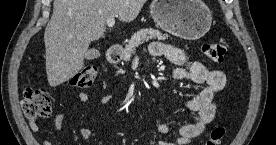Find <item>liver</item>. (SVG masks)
Here are the masks:
<instances>
[{
  "label": "liver",
  "mask_w": 276,
  "mask_h": 145,
  "mask_svg": "<svg viewBox=\"0 0 276 145\" xmlns=\"http://www.w3.org/2000/svg\"><path fill=\"white\" fill-rule=\"evenodd\" d=\"M146 0H54L45 28L46 73L56 87L78 73L92 41L104 37L107 20L131 22Z\"/></svg>",
  "instance_id": "1"
}]
</instances>
